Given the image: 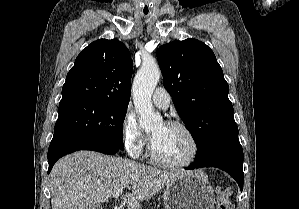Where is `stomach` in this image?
<instances>
[{
  "label": "stomach",
  "instance_id": "0dacf381",
  "mask_svg": "<svg viewBox=\"0 0 299 209\" xmlns=\"http://www.w3.org/2000/svg\"><path fill=\"white\" fill-rule=\"evenodd\" d=\"M166 209H214V190L208 177L194 171L166 186L163 192Z\"/></svg>",
  "mask_w": 299,
  "mask_h": 209
}]
</instances>
